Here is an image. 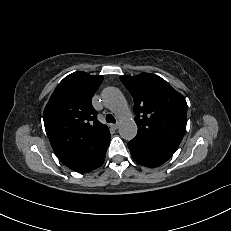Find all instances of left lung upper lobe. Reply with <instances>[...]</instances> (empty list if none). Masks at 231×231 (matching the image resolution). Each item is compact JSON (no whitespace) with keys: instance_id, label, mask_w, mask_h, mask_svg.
<instances>
[{"instance_id":"left-lung-upper-lobe-1","label":"left lung upper lobe","mask_w":231,"mask_h":231,"mask_svg":"<svg viewBox=\"0 0 231 231\" xmlns=\"http://www.w3.org/2000/svg\"><path fill=\"white\" fill-rule=\"evenodd\" d=\"M120 80L134 99L135 122L138 126L135 138L176 151L187 123L184 96L155 74L121 76Z\"/></svg>"}]
</instances>
